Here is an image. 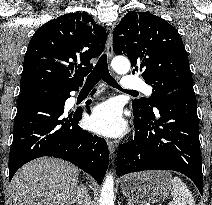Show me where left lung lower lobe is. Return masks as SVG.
Returning <instances> with one entry per match:
<instances>
[{
  "label": "left lung lower lobe",
  "instance_id": "1",
  "mask_svg": "<svg viewBox=\"0 0 212 205\" xmlns=\"http://www.w3.org/2000/svg\"><path fill=\"white\" fill-rule=\"evenodd\" d=\"M194 91L167 94L156 111L133 108L135 137L120 146L117 175L144 170H174L203 192L199 122Z\"/></svg>",
  "mask_w": 212,
  "mask_h": 205
}]
</instances>
